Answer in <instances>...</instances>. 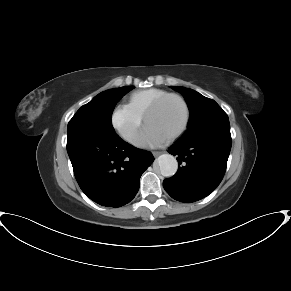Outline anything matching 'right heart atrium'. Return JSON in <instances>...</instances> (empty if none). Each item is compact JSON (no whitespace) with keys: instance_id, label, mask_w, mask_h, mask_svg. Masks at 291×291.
<instances>
[{"instance_id":"1","label":"right heart atrium","mask_w":291,"mask_h":291,"mask_svg":"<svg viewBox=\"0 0 291 291\" xmlns=\"http://www.w3.org/2000/svg\"><path fill=\"white\" fill-rule=\"evenodd\" d=\"M142 116L128 104L115 106L111 114V124L118 134L128 142H132L142 123Z\"/></svg>"}]
</instances>
